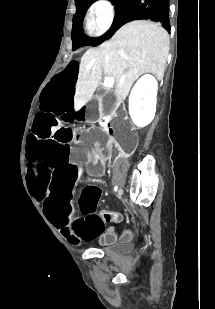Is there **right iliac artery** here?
Returning <instances> with one entry per match:
<instances>
[{
  "label": "right iliac artery",
  "mask_w": 215,
  "mask_h": 309,
  "mask_svg": "<svg viewBox=\"0 0 215 309\" xmlns=\"http://www.w3.org/2000/svg\"><path fill=\"white\" fill-rule=\"evenodd\" d=\"M117 189H118V187H117V186H115V187H114V191L116 192V191H117Z\"/></svg>",
  "instance_id": "right-iliac-artery-1"
}]
</instances>
